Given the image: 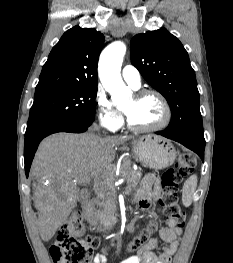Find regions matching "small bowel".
Here are the masks:
<instances>
[{
    "instance_id": "small-bowel-1",
    "label": "small bowel",
    "mask_w": 233,
    "mask_h": 263,
    "mask_svg": "<svg viewBox=\"0 0 233 263\" xmlns=\"http://www.w3.org/2000/svg\"><path fill=\"white\" fill-rule=\"evenodd\" d=\"M161 198L160 179L156 175H147L136 193V203L140 210L147 211L152 202ZM182 230L173 219L166 220V226L160 231V238L150 239L135 255L121 260L118 263H171ZM158 250V251H157ZM103 254L93 257L92 263H107Z\"/></svg>"
}]
</instances>
